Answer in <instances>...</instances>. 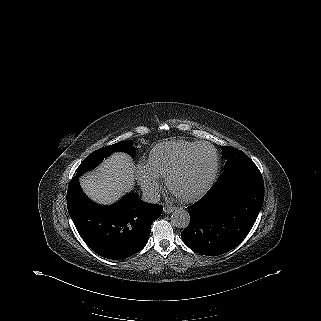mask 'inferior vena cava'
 <instances>
[{"label": "inferior vena cava", "instance_id": "602c4592", "mask_svg": "<svg viewBox=\"0 0 321 321\" xmlns=\"http://www.w3.org/2000/svg\"><path fill=\"white\" fill-rule=\"evenodd\" d=\"M142 200L147 203H158L160 200V193L155 188H145L142 193Z\"/></svg>", "mask_w": 321, "mask_h": 321}]
</instances>
